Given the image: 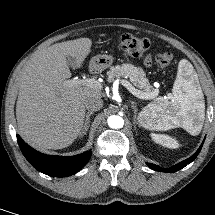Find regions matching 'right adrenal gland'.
<instances>
[{"instance_id": "obj_1", "label": "right adrenal gland", "mask_w": 215, "mask_h": 215, "mask_svg": "<svg viewBox=\"0 0 215 215\" xmlns=\"http://www.w3.org/2000/svg\"><path fill=\"white\" fill-rule=\"evenodd\" d=\"M92 114H93V112H88V113L86 114L84 126H83V129H82V133H85V131H87L88 125H89V122H90V116H91Z\"/></svg>"}]
</instances>
